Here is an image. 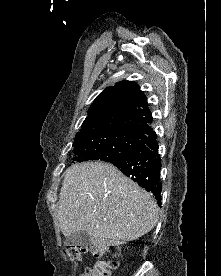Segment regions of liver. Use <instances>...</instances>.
<instances>
[{"mask_svg": "<svg viewBox=\"0 0 221 276\" xmlns=\"http://www.w3.org/2000/svg\"><path fill=\"white\" fill-rule=\"evenodd\" d=\"M158 217L150 193L111 164L85 162L65 172L58 220L66 237L87 231L95 247L118 246L151 231Z\"/></svg>", "mask_w": 221, "mask_h": 276, "instance_id": "6515ba94", "label": "liver"}]
</instances>
